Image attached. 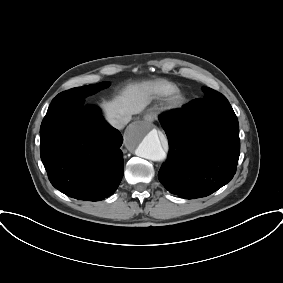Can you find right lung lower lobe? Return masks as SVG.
Instances as JSON below:
<instances>
[{"mask_svg": "<svg viewBox=\"0 0 283 283\" xmlns=\"http://www.w3.org/2000/svg\"><path fill=\"white\" fill-rule=\"evenodd\" d=\"M84 98L51 102L40 127V155L51 184L80 200L100 201L123 177V138Z\"/></svg>", "mask_w": 283, "mask_h": 283, "instance_id": "right-lung-lower-lobe-1", "label": "right lung lower lobe"}]
</instances>
